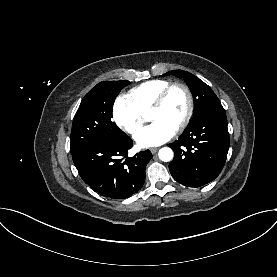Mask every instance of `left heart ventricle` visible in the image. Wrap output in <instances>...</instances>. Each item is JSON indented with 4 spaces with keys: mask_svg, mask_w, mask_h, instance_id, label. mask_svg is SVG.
I'll return each instance as SVG.
<instances>
[{
    "mask_svg": "<svg viewBox=\"0 0 277 277\" xmlns=\"http://www.w3.org/2000/svg\"><path fill=\"white\" fill-rule=\"evenodd\" d=\"M188 101L185 92L182 89H174L163 107L158 110L150 111V119L163 120L177 127L183 120L187 111Z\"/></svg>",
    "mask_w": 277,
    "mask_h": 277,
    "instance_id": "obj_1",
    "label": "left heart ventricle"
}]
</instances>
